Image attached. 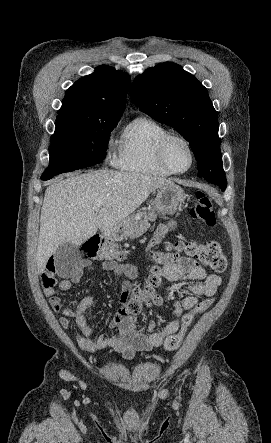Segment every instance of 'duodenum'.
I'll return each instance as SVG.
<instances>
[{"instance_id":"410a0bca","label":"duodenum","mask_w":271,"mask_h":443,"mask_svg":"<svg viewBox=\"0 0 271 443\" xmlns=\"http://www.w3.org/2000/svg\"><path fill=\"white\" fill-rule=\"evenodd\" d=\"M105 235H106V236H109V235H111V234H110V232H106Z\"/></svg>"}]
</instances>
